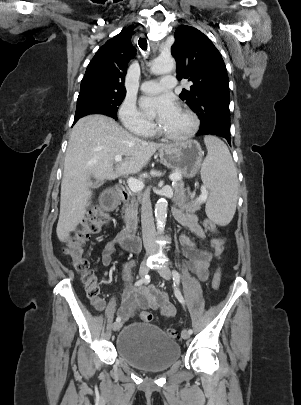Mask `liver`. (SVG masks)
Instances as JSON below:
<instances>
[{"instance_id": "liver-1", "label": "liver", "mask_w": 301, "mask_h": 405, "mask_svg": "<svg viewBox=\"0 0 301 405\" xmlns=\"http://www.w3.org/2000/svg\"><path fill=\"white\" fill-rule=\"evenodd\" d=\"M167 145L146 142L104 115L81 118L73 127L64 161L57 236L64 240L85 217L92 195L91 178L114 180L139 173ZM116 155L125 160L113 167Z\"/></svg>"}]
</instances>
